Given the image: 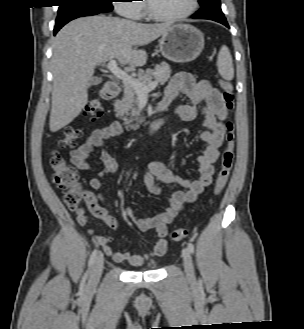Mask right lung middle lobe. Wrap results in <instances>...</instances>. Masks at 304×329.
<instances>
[{"instance_id": "obj_1", "label": "right lung middle lobe", "mask_w": 304, "mask_h": 329, "mask_svg": "<svg viewBox=\"0 0 304 329\" xmlns=\"http://www.w3.org/2000/svg\"><path fill=\"white\" fill-rule=\"evenodd\" d=\"M59 9L56 24L74 15L86 12L112 11V0H58Z\"/></svg>"}]
</instances>
